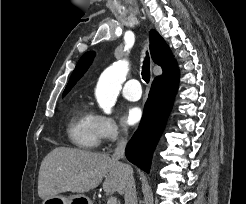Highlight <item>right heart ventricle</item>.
I'll return each mask as SVG.
<instances>
[{"mask_svg": "<svg viewBox=\"0 0 246 204\" xmlns=\"http://www.w3.org/2000/svg\"><path fill=\"white\" fill-rule=\"evenodd\" d=\"M67 134L76 147L84 150L96 149L101 140L97 115L83 103L75 105L71 110Z\"/></svg>", "mask_w": 246, "mask_h": 204, "instance_id": "1", "label": "right heart ventricle"}]
</instances>
